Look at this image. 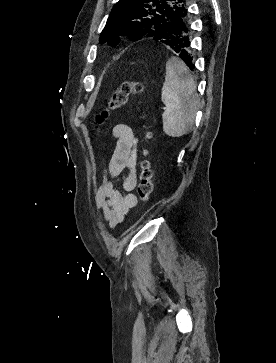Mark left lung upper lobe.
<instances>
[{"label": "left lung upper lobe", "instance_id": "left-lung-upper-lobe-1", "mask_svg": "<svg viewBox=\"0 0 276 363\" xmlns=\"http://www.w3.org/2000/svg\"><path fill=\"white\" fill-rule=\"evenodd\" d=\"M186 18L185 0H120L99 39L101 43L117 45L120 35L131 40L153 37L169 46L168 41L177 34L176 25Z\"/></svg>", "mask_w": 276, "mask_h": 363}]
</instances>
